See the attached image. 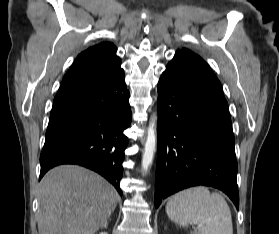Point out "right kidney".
Returning <instances> with one entry per match:
<instances>
[{
	"label": "right kidney",
	"instance_id": "1",
	"mask_svg": "<svg viewBox=\"0 0 279 234\" xmlns=\"http://www.w3.org/2000/svg\"><path fill=\"white\" fill-rule=\"evenodd\" d=\"M99 234H108L107 232H100Z\"/></svg>",
	"mask_w": 279,
	"mask_h": 234
}]
</instances>
